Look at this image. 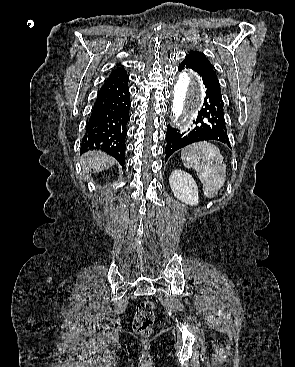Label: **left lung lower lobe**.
<instances>
[{
	"label": "left lung lower lobe",
	"mask_w": 295,
	"mask_h": 367,
	"mask_svg": "<svg viewBox=\"0 0 295 367\" xmlns=\"http://www.w3.org/2000/svg\"><path fill=\"white\" fill-rule=\"evenodd\" d=\"M185 68L194 70L202 77L206 88V97L196 120L193 121L195 126L191 130L181 132L168 125L165 162L178 149L198 141L216 140L230 147L224 117V103L215 71L186 58L179 65L178 69L182 71Z\"/></svg>",
	"instance_id": "obj_1"
}]
</instances>
